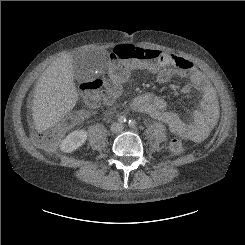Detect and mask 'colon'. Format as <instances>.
Listing matches in <instances>:
<instances>
[{"instance_id": "colon-1", "label": "colon", "mask_w": 245, "mask_h": 245, "mask_svg": "<svg viewBox=\"0 0 245 245\" xmlns=\"http://www.w3.org/2000/svg\"><path fill=\"white\" fill-rule=\"evenodd\" d=\"M146 59L143 49L134 45L121 46L117 54L110 59L106 74L93 80L86 81L81 86L86 106L93 110L101 105V94L114 91L119 82L124 81L128 73L140 61ZM78 119L77 112H71L57 125L46 129L36 136L37 143L44 148L52 147L64 132L75 125ZM168 150L173 155L184 152V143L180 138H172L168 142Z\"/></svg>"}]
</instances>
